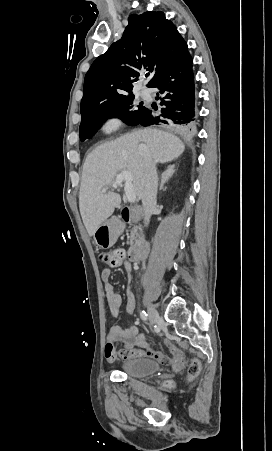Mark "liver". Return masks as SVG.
<instances>
[{"label": "liver", "instance_id": "6515ba94", "mask_svg": "<svg viewBox=\"0 0 272 451\" xmlns=\"http://www.w3.org/2000/svg\"><path fill=\"white\" fill-rule=\"evenodd\" d=\"M184 150L183 142L174 134L144 128L100 144L88 154L82 170L79 208L89 235H93L95 229L110 218L121 204L119 194L101 192L102 188L111 186L118 172H132L133 188L138 200H141L145 184V152L150 154L155 164H165L179 158Z\"/></svg>", "mask_w": 272, "mask_h": 451}]
</instances>
